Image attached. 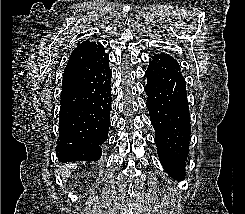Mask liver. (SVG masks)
Here are the masks:
<instances>
[{"instance_id": "liver-1", "label": "liver", "mask_w": 245, "mask_h": 214, "mask_svg": "<svg viewBox=\"0 0 245 214\" xmlns=\"http://www.w3.org/2000/svg\"><path fill=\"white\" fill-rule=\"evenodd\" d=\"M77 165L75 164H68V165H65L63 166L61 169H60V175L62 177V180H65L67 179L71 172L76 169Z\"/></svg>"}]
</instances>
